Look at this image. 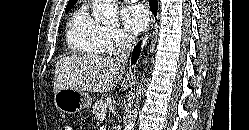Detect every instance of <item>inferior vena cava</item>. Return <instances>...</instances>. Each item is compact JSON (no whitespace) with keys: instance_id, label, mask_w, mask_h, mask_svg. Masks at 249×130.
<instances>
[{"instance_id":"inferior-vena-cava-1","label":"inferior vena cava","mask_w":249,"mask_h":130,"mask_svg":"<svg viewBox=\"0 0 249 130\" xmlns=\"http://www.w3.org/2000/svg\"><path fill=\"white\" fill-rule=\"evenodd\" d=\"M136 44L135 38L132 36H128L125 38L122 48H121V53L119 57L117 58V61L121 64H126L128 62V58L130 56L131 50L134 48Z\"/></svg>"}]
</instances>
